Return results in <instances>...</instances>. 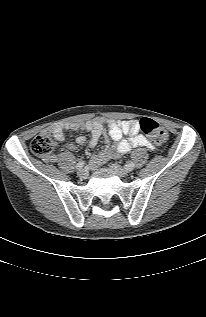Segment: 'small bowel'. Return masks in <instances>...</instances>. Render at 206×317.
Wrapping results in <instances>:
<instances>
[{
    "label": "small bowel",
    "mask_w": 206,
    "mask_h": 317,
    "mask_svg": "<svg viewBox=\"0 0 206 317\" xmlns=\"http://www.w3.org/2000/svg\"><path fill=\"white\" fill-rule=\"evenodd\" d=\"M104 125L105 120L103 118H96L87 122L71 123L68 127L74 131L80 130L90 132L89 138L79 136L76 139V142L82 146L88 145L89 147H94L99 139L105 134ZM47 132L53 135L58 141H63L65 139L64 131L59 126L51 127ZM108 134L115 141V148H106L99 154L94 155L90 162L92 166H98L109 158L119 157L135 147H144L149 150L155 149V145L140 133V125L134 119L109 121ZM123 135H127L128 138H123ZM67 148L69 150H74L75 145L73 143H68ZM51 160L55 161L56 159L55 157H52Z\"/></svg>",
    "instance_id": "c3829d8e"
}]
</instances>
